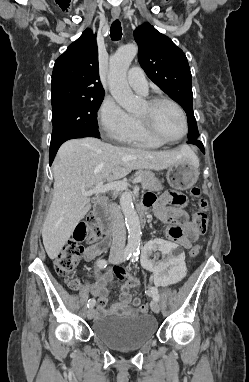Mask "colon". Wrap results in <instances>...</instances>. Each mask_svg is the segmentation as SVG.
<instances>
[{"label":"colon","mask_w":249,"mask_h":382,"mask_svg":"<svg viewBox=\"0 0 249 382\" xmlns=\"http://www.w3.org/2000/svg\"><path fill=\"white\" fill-rule=\"evenodd\" d=\"M201 191L198 187L191 189V195L199 197ZM194 222L202 234H205L208 229L209 216H208V202L207 200L200 198L198 201V209L194 214ZM102 239V231L97 224L96 217L93 214L87 215V217L78 224L76 227L74 238L68 241L61 251L58 253L54 261V268L57 274L62 276H68L74 272L76 266L83 256V247L80 242L86 241L90 244L99 243ZM201 245H195L189 251L191 257L197 256L201 251ZM68 285L72 290H78L80 282L71 278L68 280ZM134 304L140 309L141 312L147 310L146 304L142 302L140 295H137L134 299Z\"/></svg>","instance_id":"obj_1"}]
</instances>
